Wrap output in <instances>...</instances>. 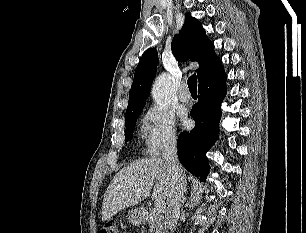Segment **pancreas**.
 I'll return each mask as SVG.
<instances>
[{"label": "pancreas", "instance_id": "cf45deb5", "mask_svg": "<svg viewBox=\"0 0 306 233\" xmlns=\"http://www.w3.org/2000/svg\"><path fill=\"white\" fill-rule=\"evenodd\" d=\"M148 224L150 225V233H166V223L159 209H150Z\"/></svg>", "mask_w": 306, "mask_h": 233}]
</instances>
